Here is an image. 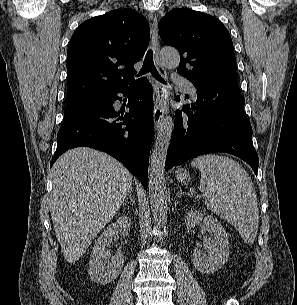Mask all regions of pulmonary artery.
I'll return each mask as SVG.
<instances>
[{"instance_id": "1", "label": "pulmonary artery", "mask_w": 297, "mask_h": 305, "mask_svg": "<svg viewBox=\"0 0 297 305\" xmlns=\"http://www.w3.org/2000/svg\"><path fill=\"white\" fill-rule=\"evenodd\" d=\"M174 82L178 83V84H181L192 97L196 96L195 86L191 82L186 80L185 78H183L181 76H176L174 78Z\"/></svg>"}]
</instances>
